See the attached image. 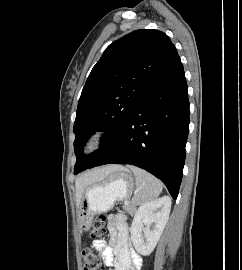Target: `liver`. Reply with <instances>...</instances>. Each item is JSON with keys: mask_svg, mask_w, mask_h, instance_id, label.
Masks as SVG:
<instances>
[{"mask_svg": "<svg viewBox=\"0 0 242 270\" xmlns=\"http://www.w3.org/2000/svg\"><path fill=\"white\" fill-rule=\"evenodd\" d=\"M121 168H122L121 166L109 165V166H105L102 168L88 171L86 173H83L81 176H79L75 181L77 204H79L86 187H88L91 184L104 180L111 173Z\"/></svg>", "mask_w": 242, "mask_h": 270, "instance_id": "1", "label": "liver"}]
</instances>
